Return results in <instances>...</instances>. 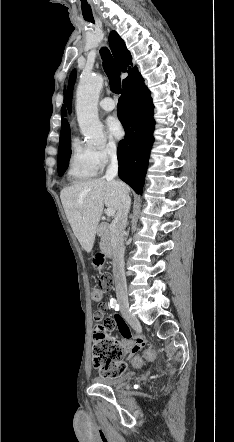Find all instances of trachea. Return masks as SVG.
I'll return each mask as SVG.
<instances>
[{"mask_svg": "<svg viewBox=\"0 0 234 442\" xmlns=\"http://www.w3.org/2000/svg\"><path fill=\"white\" fill-rule=\"evenodd\" d=\"M100 54L103 60V68L109 79L110 89L115 94L121 93V78L120 70L114 61L110 51L103 47L100 49Z\"/></svg>", "mask_w": 234, "mask_h": 442, "instance_id": "1", "label": "trachea"}]
</instances>
